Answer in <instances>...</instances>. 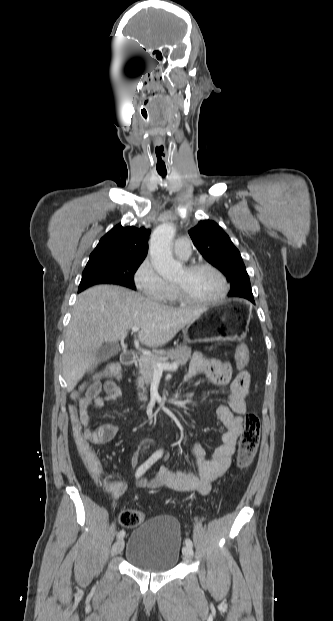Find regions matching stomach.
<instances>
[{
    "label": "stomach",
    "instance_id": "obj_1",
    "mask_svg": "<svg viewBox=\"0 0 333 621\" xmlns=\"http://www.w3.org/2000/svg\"><path fill=\"white\" fill-rule=\"evenodd\" d=\"M250 316L251 307L242 300H229L207 306L183 330L184 339L188 342H205L239 338Z\"/></svg>",
    "mask_w": 333,
    "mask_h": 621
}]
</instances>
